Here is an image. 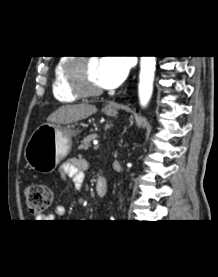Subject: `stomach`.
<instances>
[{
  "label": "stomach",
  "instance_id": "obj_1",
  "mask_svg": "<svg viewBox=\"0 0 218 277\" xmlns=\"http://www.w3.org/2000/svg\"><path fill=\"white\" fill-rule=\"evenodd\" d=\"M103 111L110 117L117 115V110L109 106H106ZM79 132V129H74V126L63 127L57 123L39 126L31 134L24 150L27 164L36 172H52L67 156L72 146V137Z\"/></svg>",
  "mask_w": 218,
  "mask_h": 277
}]
</instances>
